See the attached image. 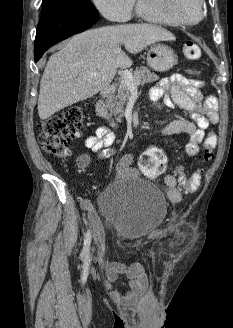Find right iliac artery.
I'll return each instance as SVG.
<instances>
[{"label": "right iliac artery", "mask_w": 233, "mask_h": 328, "mask_svg": "<svg viewBox=\"0 0 233 328\" xmlns=\"http://www.w3.org/2000/svg\"><path fill=\"white\" fill-rule=\"evenodd\" d=\"M105 156L108 157L109 153H105ZM90 244H91V233L88 230L87 233L85 234V237H84L83 249H82L81 254H80L81 258L88 257L89 250H90Z\"/></svg>", "instance_id": "1"}]
</instances>
